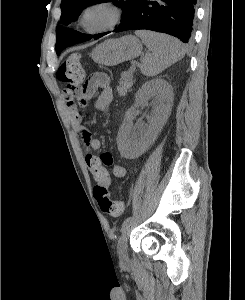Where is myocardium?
I'll return each instance as SVG.
<instances>
[{"instance_id": "myocardium-1", "label": "myocardium", "mask_w": 245, "mask_h": 300, "mask_svg": "<svg viewBox=\"0 0 245 300\" xmlns=\"http://www.w3.org/2000/svg\"><path fill=\"white\" fill-rule=\"evenodd\" d=\"M97 9L106 10L110 15V19L103 26L90 28L86 25V17L91 11ZM122 17L123 10L116 2L112 0H97L83 8L79 17V24L85 31L89 33H102L117 26L120 23Z\"/></svg>"}]
</instances>
